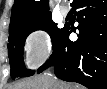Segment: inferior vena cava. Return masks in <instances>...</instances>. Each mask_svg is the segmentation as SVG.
I'll return each instance as SVG.
<instances>
[{"mask_svg":"<svg viewBox=\"0 0 107 89\" xmlns=\"http://www.w3.org/2000/svg\"><path fill=\"white\" fill-rule=\"evenodd\" d=\"M48 77H50V79H54V75L50 72V71H48L47 73H45Z\"/></svg>","mask_w":107,"mask_h":89,"instance_id":"obj_1","label":"inferior vena cava"}]
</instances>
